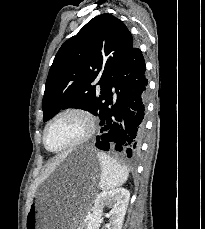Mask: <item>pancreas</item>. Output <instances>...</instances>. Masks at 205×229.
<instances>
[{"label":"pancreas","instance_id":"1","mask_svg":"<svg viewBox=\"0 0 205 229\" xmlns=\"http://www.w3.org/2000/svg\"><path fill=\"white\" fill-rule=\"evenodd\" d=\"M84 226H86V222H83V223H82V228H83ZM82 228H81V229H82Z\"/></svg>","mask_w":205,"mask_h":229}]
</instances>
